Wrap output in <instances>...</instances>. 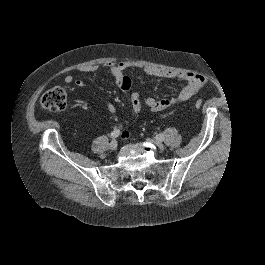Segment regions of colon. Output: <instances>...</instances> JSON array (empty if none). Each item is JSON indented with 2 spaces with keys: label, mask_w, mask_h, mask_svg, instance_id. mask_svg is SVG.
Returning <instances> with one entry per match:
<instances>
[{
  "label": "colon",
  "mask_w": 265,
  "mask_h": 265,
  "mask_svg": "<svg viewBox=\"0 0 265 265\" xmlns=\"http://www.w3.org/2000/svg\"><path fill=\"white\" fill-rule=\"evenodd\" d=\"M40 103L44 109L54 112L63 111L67 106V93L61 87L51 88L42 95ZM201 106V100H197L194 104L197 109Z\"/></svg>",
  "instance_id": "1"
}]
</instances>
